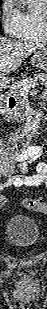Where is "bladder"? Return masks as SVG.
Here are the masks:
<instances>
[{
    "label": "bladder",
    "instance_id": "1",
    "mask_svg": "<svg viewBox=\"0 0 47 309\" xmlns=\"http://www.w3.org/2000/svg\"><path fill=\"white\" fill-rule=\"evenodd\" d=\"M5 235L10 245L27 249L39 242L41 231L33 218L24 214H16L9 218Z\"/></svg>",
    "mask_w": 47,
    "mask_h": 309
}]
</instances>
